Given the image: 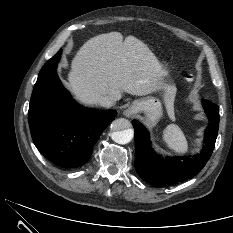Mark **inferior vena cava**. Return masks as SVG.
<instances>
[{
	"label": "inferior vena cava",
	"mask_w": 233,
	"mask_h": 233,
	"mask_svg": "<svg viewBox=\"0 0 233 233\" xmlns=\"http://www.w3.org/2000/svg\"><path fill=\"white\" fill-rule=\"evenodd\" d=\"M115 99L111 96H104V97H101L99 99V104L103 107H112L113 105H115Z\"/></svg>",
	"instance_id": "602c4592"
}]
</instances>
